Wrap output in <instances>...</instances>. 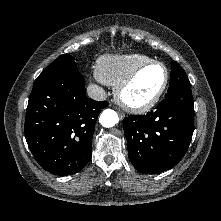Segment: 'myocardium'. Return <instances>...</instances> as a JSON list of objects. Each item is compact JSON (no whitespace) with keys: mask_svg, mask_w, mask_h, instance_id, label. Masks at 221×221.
I'll return each instance as SVG.
<instances>
[{"mask_svg":"<svg viewBox=\"0 0 221 221\" xmlns=\"http://www.w3.org/2000/svg\"><path fill=\"white\" fill-rule=\"evenodd\" d=\"M161 66L164 70V80L158 91L149 99L143 102H133L125 97V92L134 84L139 75L151 66ZM169 83V71L167 67L159 61L151 60L134 69L115 90V98L118 104L124 109L133 113H143L153 108L161 99Z\"/></svg>","mask_w":221,"mask_h":221,"instance_id":"obj_1","label":"myocardium"}]
</instances>
